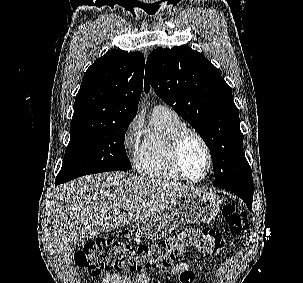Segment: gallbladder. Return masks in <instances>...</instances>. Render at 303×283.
Returning a JSON list of instances; mask_svg holds the SVG:
<instances>
[{
    "label": "gallbladder",
    "mask_w": 303,
    "mask_h": 283,
    "mask_svg": "<svg viewBox=\"0 0 303 283\" xmlns=\"http://www.w3.org/2000/svg\"><path fill=\"white\" fill-rule=\"evenodd\" d=\"M86 240L85 239H82L80 240L79 242H77V244L75 245V249H80L84 246Z\"/></svg>",
    "instance_id": "obj_1"
}]
</instances>
